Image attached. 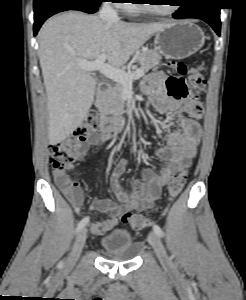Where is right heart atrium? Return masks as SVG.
Wrapping results in <instances>:
<instances>
[{
	"label": "right heart atrium",
	"instance_id": "obj_1",
	"mask_svg": "<svg viewBox=\"0 0 246 300\" xmlns=\"http://www.w3.org/2000/svg\"><path fill=\"white\" fill-rule=\"evenodd\" d=\"M116 2H122V1H125V0H115ZM117 6H120V4L116 3Z\"/></svg>",
	"mask_w": 246,
	"mask_h": 300
}]
</instances>
